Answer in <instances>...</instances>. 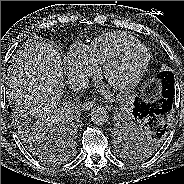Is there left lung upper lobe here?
Wrapping results in <instances>:
<instances>
[{"label":"left lung upper lobe","instance_id":"obj_1","mask_svg":"<svg viewBox=\"0 0 184 184\" xmlns=\"http://www.w3.org/2000/svg\"><path fill=\"white\" fill-rule=\"evenodd\" d=\"M121 135V149L126 156L147 157L156 152L167 138L168 132L159 136L145 121L130 114L117 125Z\"/></svg>","mask_w":184,"mask_h":184}]
</instances>
